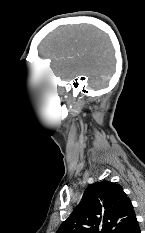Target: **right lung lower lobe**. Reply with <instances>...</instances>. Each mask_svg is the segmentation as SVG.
<instances>
[{
	"instance_id": "obj_1",
	"label": "right lung lower lobe",
	"mask_w": 145,
	"mask_h": 233,
	"mask_svg": "<svg viewBox=\"0 0 145 233\" xmlns=\"http://www.w3.org/2000/svg\"><path fill=\"white\" fill-rule=\"evenodd\" d=\"M124 233H140V228L136 217L132 220L129 227L124 231Z\"/></svg>"
}]
</instances>
